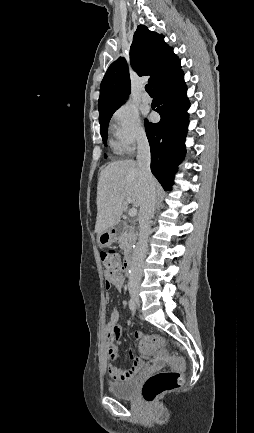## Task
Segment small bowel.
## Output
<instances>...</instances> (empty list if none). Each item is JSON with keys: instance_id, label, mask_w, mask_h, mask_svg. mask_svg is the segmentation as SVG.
Listing matches in <instances>:
<instances>
[{"instance_id": "obj_1", "label": "small bowel", "mask_w": 254, "mask_h": 433, "mask_svg": "<svg viewBox=\"0 0 254 433\" xmlns=\"http://www.w3.org/2000/svg\"><path fill=\"white\" fill-rule=\"evenodd\" d=\"M124 282H125L124 278H120V279L107 278L106 288L110 289L114 287L120 291L124 287ZM119 319H120L119 311L117 309H114L111 312L109 320L105 325V332L108 340L107 343L105 344V352L110 361H113L116 358L117 349H118L116 343H114L113 340L122 333V327L119 323ZM133 336L135 339L138 340L143 339V333L141 331H135L133 333ZM130 357H131V366L126 370H123L112 363L108 364L107 371L109 376L113 380H117V381L129 380L133 378L140 371V369L143 366L142 358L134 355L132 352ZM159 362H161L160 359L154 361L155 364Z\"/></svg>"}]
</instances>
